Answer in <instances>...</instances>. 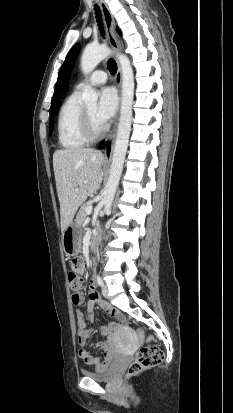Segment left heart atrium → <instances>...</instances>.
Segmentation results:
<instances>
[{"label": "left heart atrium", "mask_w": 233, "mask_h": 413, "mask_svg": "<svg viewBox=\"0 0 233 413\" xmlns=\"http://www.w3.org/2000/svg\"><path fill=\"white\" fill-rule=\"evenodd\" d=\"M118 107V97L115 90L106 87L101 90L100 99L96 110V119L103 126L115 115Z\"/></svg>", "instance_id": "1"}]
</instances>
